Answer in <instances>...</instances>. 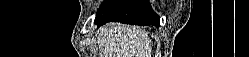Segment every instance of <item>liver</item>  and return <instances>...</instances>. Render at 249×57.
Listing matches in <instances>:
<instances>
[{
    "label": "liver",
    "mask_w": 249,
    "mask_h": 57,
    "mask_svg": "<svg viewBox=\"0 0 249 57\" xmlns=\"http://www.w3.org/2000/svg\"><path fill=\"white\" fill-rule=\"evenodd\" d=\"M150 39L135 26L108 23L100 29V57H150Z\"/></svg>",
    "instance_id": "6515ba94"
}]
</instances>
